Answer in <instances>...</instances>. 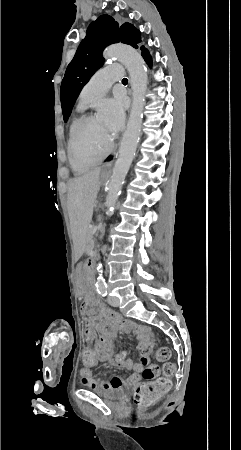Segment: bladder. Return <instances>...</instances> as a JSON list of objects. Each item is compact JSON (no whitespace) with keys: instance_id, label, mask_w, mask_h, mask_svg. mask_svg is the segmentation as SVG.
Returning a JSON list of instances; mask_svg holds the SVG:
<instances>
[{"instance_id":"obj_1","label":"bladder","mask_w":241,"mask_h":450,"mask_svg":"<svg viewBox=\"0 0 241 450\" xmlns=\"http://www.w3.org/2000/svg\"><path fill=\"white\" fill-rule=\"evenodd\" d=\"M100 395L111 400H120L124 397V392L121 389H109L100 392Z\"/></svg>"}]
</instances>
